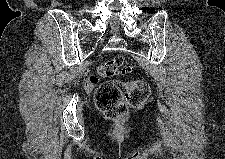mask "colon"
Segmentation results:
<instances>
[{
	"label": "colon",
	"instance_id": "1",
	"mask_svg": "<svg viewBox=\"0 0 225 159\" xmlns=\"http://www.w3.org/2000/svg\"><path fill=\"white\" fill-rule=\"evenodd\" d=\"M132 69L126 65L123 57H114L103 61L97 70V76L111 78L116 75H130ZM97 80V77H94ZM150 95L149 85L143 80H107L99 85L95 92V103L109 119L125 117L130 109L143 106Z\"/></svg>",
	"mask_w": 225,
	"mask_h": 159
}]
</instances>
